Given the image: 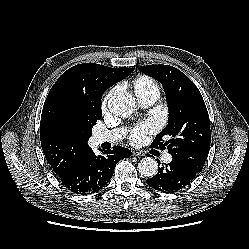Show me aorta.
<instances>
[{"label": "aorta", "instance_id": "1", "mask_svg": "<svg viewBox=\"0 0 249 249\" xmlns=\"http://www.w3.org/2000/svg\"><path fill=\"white\" fill-rule=\"evenodd\" d=\"M108 108L111 113L123 118H128L134 113L136 102L131 95L120 94L110 98ZM138 170L141 175L145 177H153L158 172L157 161L152 157L142 158L138 163Z\"/></svg>", "mask_w": 249, "mask_h": 249}]
</instances>
